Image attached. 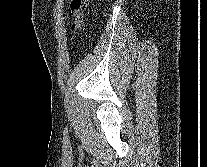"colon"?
<instances>
[{"mask_svg": "<svg viewBox=\"0 0 207 167\" xmlns=\"http://www.w3.org/2000/svg\"><path fill=\"white\" fill-rule=\"evenodd\" d=\"M89 0H69L68 9L73 16L72 33L78 34L84 26V11Z\"/></svg>", "mask_w": 207, "mask_h": 167, "instance_id": "colon-1", "label": "colon"}]
</instances>
